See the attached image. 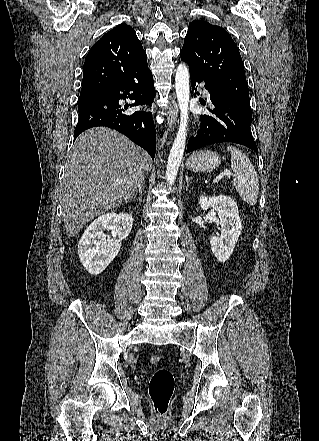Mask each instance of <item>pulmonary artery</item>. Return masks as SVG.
I'll use <instances>...</instances> for the list:
<instances>
[{
  "instance_id": "e3ab8cb5",
  "label": "pulmonary artery",
  "mask_w": 319,
  "mask_h": 441,
  "mask_svg": "<svg viewBox=\"0 0 319 441\" xmlns=\"http://www.w3.org/2000/svg\"><path fill=\"white\" fill-rule=\"evenodd\" d=\"M203 94H204L206 97H209V92H208L206 89L203 90Z\"/></svg>"
}]
</instances>
